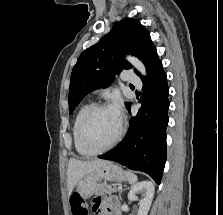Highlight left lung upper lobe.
I'll return each instance as SVG.
<instances>
[{
    "label": "left lung upper lobe",
    "mask_w": 223,
    "mask_h": 215,
    "mask_svg": "<svg viewBox=\"0 0 223 215\" xmlns=\"http://www.w3.org/2000/svg\"><path fill=\"white\" fill-rule=\"evenodd\" d=\"M125 54L138 57L149 73L160 61L150 34L136 19L116 22L97 44L83 51L73 67L69 88V113L92 90L107 86L123 69H130ZM134 72L142 78L137 70ZM131 103H126V107Z\"/></svg>",
    "instance_id": "obj_1"
}]
</instances>
